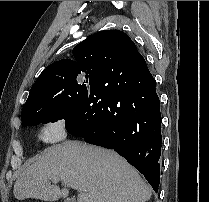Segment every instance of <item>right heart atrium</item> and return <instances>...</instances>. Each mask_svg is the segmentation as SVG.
Segmentation results:
<instances>
[{
	"instance_id": "right-heart-atrium-1",
	"label": "right heart atrium",
	"mask_w": 209,
	"mask_h": 202,
	"mask_svg": "<svg viewBox=\"0 0 209 202\" xmlns=\"http://www.w3.org/2000/svg\"><path fill=\"white\" fill-rule=\"evenodd\" d=\"M67 136L65 120L51 117L42 120L37 128V138L47 144L62 142Z\"/></svg>"
}]
</instances>
